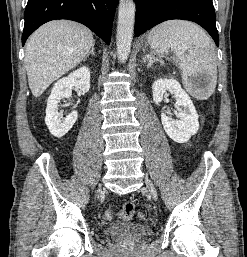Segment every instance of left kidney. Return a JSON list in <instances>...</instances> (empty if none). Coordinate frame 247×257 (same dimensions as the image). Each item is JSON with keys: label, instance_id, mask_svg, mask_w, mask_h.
Returning <instances> with one entry per match:
<instances>
[{"label": "left kidney", "instance_id": "left-kidney-1", "mask_svg": "<svg viewBox=\"0 0 247 257\" xmlns=\"http://www.w3.org/2000/svg\"><path fill=\"white\" fill-rule=\"evenodd\" d=\"M153 101L160 105L163 97L169 93L176 98L175 107L179 119L174 120L164 112L161 121L167 135L177 143H185L199 129L198 114L189 95L181 88L175 79H158L152 85ZM183 108V109H182Z\"/></svg>", "mask_w": 247, "mask_h": 257}]
</instances>
